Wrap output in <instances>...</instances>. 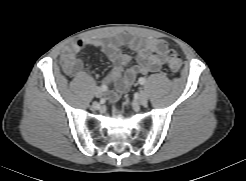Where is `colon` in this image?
<instances>
[{
  "label": "colon",
  "mask_w": 246,
  "mask_h": 181,
  "mask_svg": "<svg viewBox=\"0 0 246 181\" xmlns=\"http://www.w3.org/2000/svg\"><path fill=\"white\" fill-rule=\"evenodd\" d=\"M167 67L173 73H176L181 69L182 59L180 58V56L175 51H172V50L168 51V53H167Z\"/></svg>",
  "instance_id": "obj_1"
}]
</instances>
